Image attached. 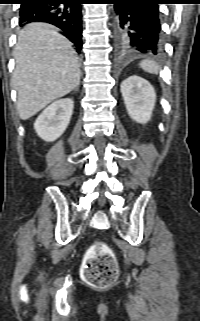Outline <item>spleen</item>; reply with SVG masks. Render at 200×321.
<instances>
[{
	"instance_id": "obj_1",
	"label": "spleen",
	"mask_w": 200,
	"mask_h": 321,
	"mask_svg": "<svg viewBox=\"0 0 200 321\" xmlns=\"http://www.w3.org/2000/svg\"><path fill=\"white\" fill-rule=\"evenodd\" d=\"M139 65L144 71L152 74H158L160 70L159 65L155 61L150 59L141 61Z\"/></svg>"
}]
</instances>
